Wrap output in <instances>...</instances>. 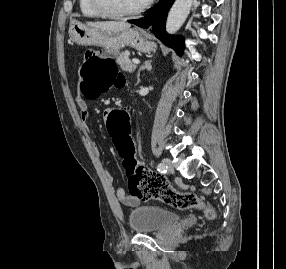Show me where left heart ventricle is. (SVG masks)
<instances>
[{"label": "left heart ventricle", "mask_w": 286, "mask_h": 269, "mask_svg": "<svg viewBox=\"0 0 286 269\" xmlns=\"http://www.w3.org/2000/svg\"><path fill=\"white\" fill-rule=\"evenodd\" d=\"M147 0H103L104 5L117 13L129 12L143 5Z\"/></svg>", "instance_id": "1"}]
</instances>
